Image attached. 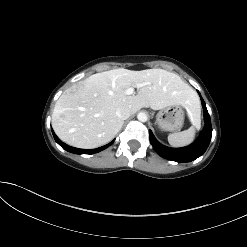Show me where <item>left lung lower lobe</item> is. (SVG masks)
<instances>
[{"label":"left lung lower lobe","instance_id":"0a47b994","mask_svg":"<svg viewBox=\"0 0 247 247\" xmlns=\"http://www.w3.org/2000/svg\"><path fill=\"white\" fill-rule=\"evenodd\" d=\"M200 95V93H199ZM201 96V95H200ZM201 102L204 110L205 127L202 130L199 138L191 145L183 148H169L159 143L149 130L150 142L155 151L163 158L176 162H190L204 154L209 146L212 136V126L210 115L207 111L206 104L201 97Z\"/></svg>","mask_w":247,"mask_h":247}]
</instances>
